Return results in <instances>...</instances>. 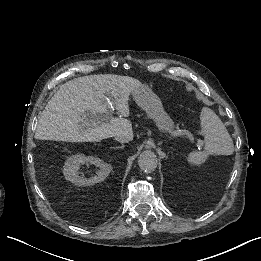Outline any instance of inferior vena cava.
<instances>
[{
  "instance_id": "inferior-vena-cava-1",
  "label": "inferior vena cava",
  "mask_w": 261,
  "mask_h": 261,
  "mask_svg": "<svg viewBox=\"0 0 261 261\" xmlns=\"http://www.w3.org/2000/svg\"><path fill=\"white\" fill-rule=\"evenodd\" d=\"M115 139L120 143H126L130 141L128 136H120V137H116Z\"/></svg>"
}]
</instances>
